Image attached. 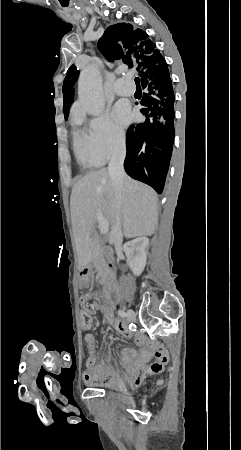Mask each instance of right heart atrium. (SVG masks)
<instances>
[{"label":"right heart atrium","instance_id":"d8ad5b80","mask_svg":"<svg viewBox=\"0 0 241 450\" xmlns=\"http://www.w3.org/2000/svg\"><path fill=\"white\" fill-rule=\"evenodd\" d=\"M91 123L89 116H75L74 124L84 130ZM125 131L114 123L108 113H102L86 129V149L89 155H95L107 161L115 155H124Z\"/></svg>","mask_w":241,"mask_h":450}]
</instances>
